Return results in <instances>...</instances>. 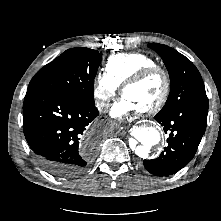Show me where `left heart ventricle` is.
I'll use <instances>...</instances> for the list:
<instances>
[{
  "mask_svg": "<svg viewBox=\"0 0 221 221\" xmlns=\"http://www.w3.org/2000/svg\"><path fill=\"white\" fill-rule=\"evenodd\" d=\"M163 91V80L160 75L150 77L138 84L130 86L124 93L138 110L149 107L156 102Z\"/></svg>",
  "mask_w": 221,
  "mask_h": 221,
  "instance_id": "left-heart-ventricle-1",
  "label": "left heart ventricle"
}]
</instances>
